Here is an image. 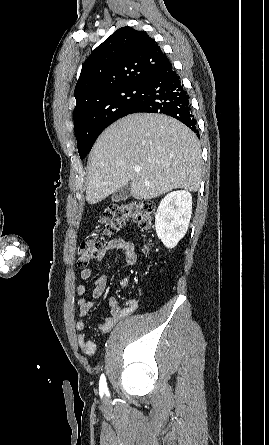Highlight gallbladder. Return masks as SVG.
Here are the masks:
<instances>
[{
	"mask_svg": "<svg viewBox=\"0 0 269 445\" xmlns=\"http://www.w3.org/2000/svg\"><path fill=\"white\" fill-rule=\"evenodd\" d=\"M131 196V186L126 184L125 186L119 188L112 194L111 200L113 202H119L127 200Z\"/></svg>",
	"mask_w": 269,
	"mask_h": 445,
	"instance_id": "gallbladder-1",
	"label": "gallbladder"
}]
</instances>
